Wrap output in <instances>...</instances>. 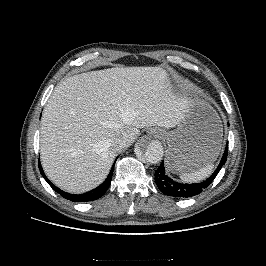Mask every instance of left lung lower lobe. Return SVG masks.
Returning <instances> with one entry per match:
<instances>
[{
  "label": "left lung lower lobe",
  "instance_id": "left-lung-lower-lobe-1",
  "mask_svg": "<svg viewBox=\"0 0 266 266\" xmlns=\"http://www.w3.org/2000/svg\"><path fill=\"white\" fill-rule=\"evenodd\" d=\"M227 153H228V143L226 145L224 154L222 156V159L219 163L218 168L215 170V172L205 181L201 183L196 184H181L174 180H172L170 177H168L165 173L164 168V162L161 163V165L158 167V169L155 171V181L160 189L161 192L168 196L173 197H179V198H188L195 195L200 194L205 188H207L212 181L217 176L218 172L222 168V166L225 164L227 160Z\"/></svg>",
  "mask_w": 266,
  "mask_h": 266
}]
</instances>
